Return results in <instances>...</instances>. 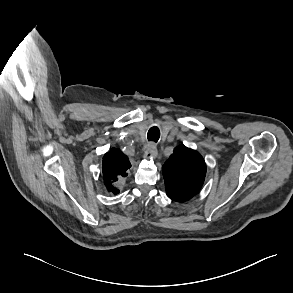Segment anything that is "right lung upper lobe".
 <instances>
[{
  "mask_svg": "<svg viewBox=\"0 0 293 293\" xmlns=\"http://www.w3.org/2000/svg\"><path fill=\"white\" fill-rule=\"evenodd\" d=\"M131 167L128 157L120 150L112 148L103 157L102 170L104 183L109 192L117 194L119 190L114 183L127 176V169Z\"/></svg>",
  "mask_w": 293,
  "mask_h": 293,
  "instance_id": "cb5924a9",
  "label": "right lung upper lobe"
}]
</instances>
